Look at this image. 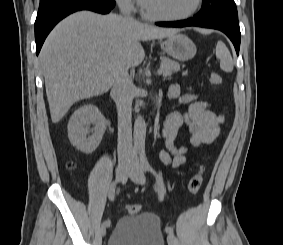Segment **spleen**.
<instances>
[{"label": "spleen", "instance_id": "spleen-1", "mask_svg": "<svg viewBox=\"0 0 283 245\" xmlns=\"http://www.w3.org/2000/svg\"><path fill=\"white\" fill-rule=\"evenodd\" d=\"M216 57L220 60V68L225 72L233 71V60L226 45L219 41L216 45Z\"/></svg>", "mask_w": 283, "mask_h": 245}]
</instances>
